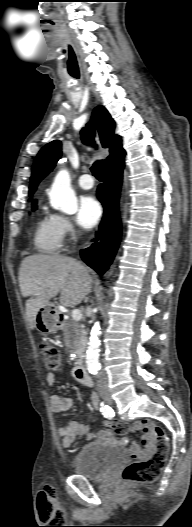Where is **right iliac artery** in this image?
I'll return each instance as SVG.
<instances>
[{
  "label": "right iliac artery",
  "mask_w": 192,
  "mask_h": 527,
  "mask_svg": "<svg viewBox=\"0 0 192 527\" xmlns=\"http://www.w3.org/2000/svg\"><path fill=\"white\" fill-rule=\"evenodd\" d=\"M100 411L106 418L110 419L113 416L111 408L107 405H104L103 402L101 403Z\"/></svg>",
  "instance_id": "1"
}]
</instances>
